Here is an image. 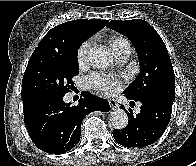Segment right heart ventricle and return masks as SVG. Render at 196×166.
<instances>
[{
  "mask_svg": "<svg viewBox=\"0 0 196 166\" xmlns=\"http://www.w3.org/2000/svg\"><path fill=\"white\" fill-rule=\"evenodd\" d=\"M113 51L115 52L121 47H130L129 42L121 36H113L110 40Z\"/></svg>",
  "mask_w": 196,
  "mask_h": 166,
  "instance_id": "obj_1",
  "label": "right heart ventricle"
}]
</instances>
